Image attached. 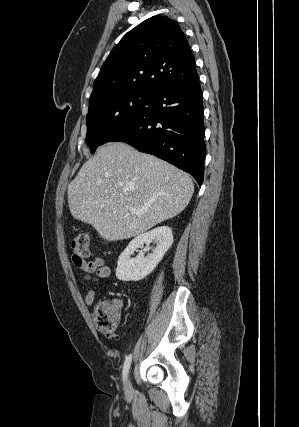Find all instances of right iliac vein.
<instances>
[{"mask_svg": "<svg viewBox=\"0 0 299 427\" xmlns=\"http://www.w3.org/2000/svg\"><path fill=\"white\" fill-rule=\"evenodd\" d=\"M125 390L127 392H130L132 390V385H131L130 379H127V381H126Z\"/></svg>", "mask_w": 299, "mask_h": 427, "instance_id": "63e3f726", "label": "right iliac vein"}]
</instances>
